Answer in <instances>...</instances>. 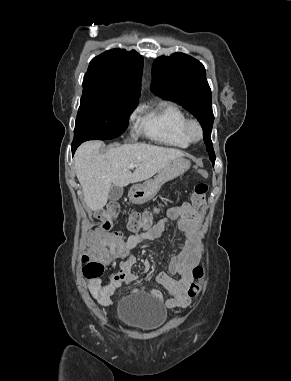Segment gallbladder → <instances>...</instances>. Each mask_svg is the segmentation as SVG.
<instances>
[{
    "mask_svg": "<svg viewBox=\"0 0 291 381\" xmlns=\"http://www.w3.org/2000/svg\"><path fill=\"white\" fill-rule=\"evenodd\" d=\"M122 195H123V188L116 185H112L110 193H109V199L112 201H116V200H119Z\"/></svg>",
    "mask_w": 291,
    "mask_h": 381,
    "instance_id": "obj_1",
    "label": "gallbladder"
}]
</instances>
